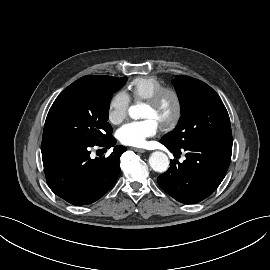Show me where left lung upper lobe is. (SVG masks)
Here are the masks:
<instances>
[{"instance_id": "5c2ea615", "label": "left lung upper lobe", "mask_w": 270, "mask_h": 270, "mask_svg": "<svg viewBox=\"0 0 270 270\" xmlns=\"http://www.w3.org/2000/svg\"><path fill=\"white\" fill-rule=\"evenodd\" d=\"M181 104V118L174 132L162 140L176 148L193 141L232 143L228 112L218 94L206 83L179 75L173 79Z\"/></svg>"}]
</instances>
